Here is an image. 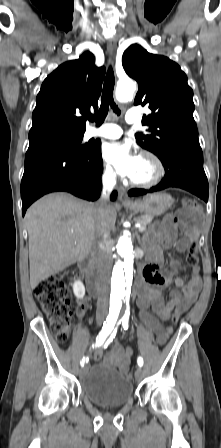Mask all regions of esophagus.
Returning <instances> with one entry per match:
<instances>
[{
  "mask_svg": "<svg viewBox=\"0 0 221 448\" xmlns=\"http://www.w3.org/2000/svg\"><path fill=\"white\" fill-rule=\"evenodd\" d=\"M116 48H117V40L116 38L112 37L108 40V54L111 58H114L115 56V52H116ZM120 201L122 203H129L130 200L128 199V197L125 195V189L122 188L120 190Z\"/></svg>",
  "mask_w": 221,
  "mask_h": 448,
  "instance_id": "esophagus-1",
  "label": "esophagus"
}]
</instances>
